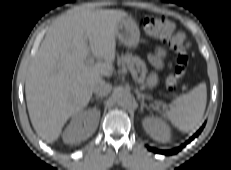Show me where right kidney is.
I'll use <instances>...</instances> for the list:
<instances>
[{
	"instance_id": "obj_1",
	"label": "right kidney",
	"mask_w": 231,
	"mask_h": 170,
	"mask_svg": "<svg viewBox=\"0 0 231 170\" xmlns=\"http://www.w3.org/2000/svg\"><path fill=\"white\" fill-rule=\"evenodd\" d=\"M100 111L96 108L82 111L73 116L63 133V141L67 144H78L89 138L96 130Z\"/></svg>"
}]
</instances>
